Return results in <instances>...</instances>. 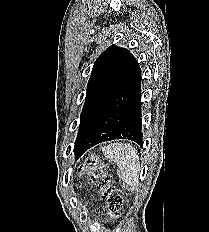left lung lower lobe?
<instances>
[{
	"mask_svg": "<svg viewBox=\"0 0 209 232\" xmlns=\"http://www.w3.org/2000/svg\"><path fill=\"white\" fill-rule=\"evenodd\" d=\"M141 128V70L135 61L123 83L85 116L79 126L75 156L79 158L92 146L115 139L143 145Z\"/></svg>",
	"mask_w": 209,
	"mask_h": 232,
	"instance_id": "0a47b994",
	"label": "left lung lower lobe"
}]
</instances>
